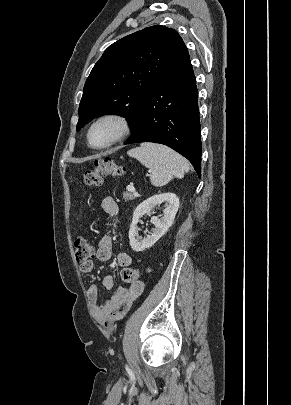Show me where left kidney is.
Here are the masks:
<instances>
[{"label":"left kidney","mask_w":291,"mask_h":405,"mask_svg":"<svg viewBox=\"0 0 291 405\" xmlns=\"http://www.w3.org/2000/svg\"><path fill=\"white\" fill-rule=\"evenodd\" d=\"M164 203L165 209L162 218H151V223L155 226L152 234L146 235L142 238L137 235V224L139 219L146 213L157 206ZM179 208V198L174 193H163L151 196L144 200L137 206L133 213L132 223L129 229V243L131 248L136 252H141L146 248L153 246L172 226L175 219V215Z\"/></svg>","instance_id":"left-kidney-1"}]
</instances>
